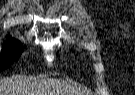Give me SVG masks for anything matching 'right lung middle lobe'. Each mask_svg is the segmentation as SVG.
Returning <instances> with one entry per match:
<instances>
[{
	"instance_id": "obj_1",
	"label": "right lung middle lobe",
	"mask_w": 135,
	"mask_h": 95,
	"mask_svg": "<svg viewBox=\"0 0 135 95\" xmlns=\"http://www.w3.org/2000/svg\"><path fill=\"white\" fill-rule=\"evenodd\" d=\"M22 46L19 41L10 39L3 46L0 54V71L5 70L22 53Z\"/></svg>"
}]
</instances>
